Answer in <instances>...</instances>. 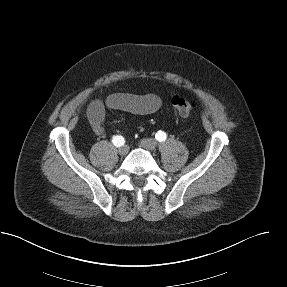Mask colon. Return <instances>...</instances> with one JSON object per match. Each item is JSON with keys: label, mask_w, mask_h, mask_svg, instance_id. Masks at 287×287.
I'll use <instances>...</instances> for the list:
<instances>
[{"label": "colon", "mask_w": 287, "mask_h": 287, "mask_svg": "<svg viewBox=\"0 0 287 287\" xmlns=\"http://www.w3.org/2000/svg\"><path fill=\"white\" fill-rule=\"evenodd\" d=\"M171 105L175 112L181 117L190 116L197 106L196 102L181 96L172 97Z\"/></svg>", "instance_id": "1"}]
</instances>
